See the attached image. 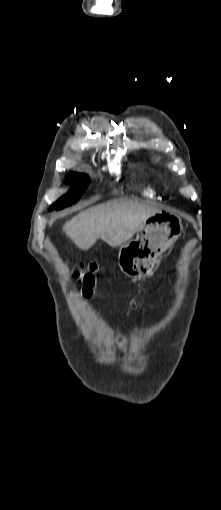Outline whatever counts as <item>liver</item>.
I'll list each match as a JSON object with an SVG mask.
<instances>
[{"instance_id": "obj_1", "label": "liver", "mask_w": 221, "mask_h": 510, "mask_svg": "<svg viewBox=\"0 0 221 510\" xmlns=\"http://www.w3.org/2000/svg\"><path fill=\"white\" fill-rule=\"evenodd\" d=\"M161 210L129 199H115L75 215L63 231L81 250H89L98 239L111 247L129 241L145 220Z\"/></svg>"}]
</instances>
